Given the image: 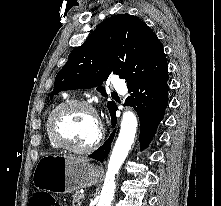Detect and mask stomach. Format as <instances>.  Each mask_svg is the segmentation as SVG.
Masks as SVG:
<instances>
[{"label":"stomach","mask_w":221,"mask_h":206,"mask_svg":"<svg viewBox=\"0 0 221 206\" xmlns=\"http://www.w3.org/2000/svg\"><path fill=\"white\" fill-rule=\"evenodd\" d=\"M100 171L89 162L66 155L42 157L33 173V184L39 190L65 194L98 182Z\"/></svg>","instance_id":"stomach-1"}]
</instances>
